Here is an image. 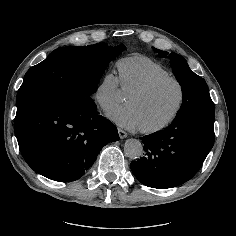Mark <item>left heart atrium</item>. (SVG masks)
Listing matches in <instances>:
<instances>
[{
  "label": "left heart atrium",
  "mask_w": 236,
  "mask_h": 236,
  "mask_svg": "<svg viewBox=\"0 0 236 236\" xmlns=\"http://www.w3.org/2000/svg\"><path fill=\"white\" fill-rule=\"evenodd\" d=\"M109 118L117 125L133 129L140 127V122L136 110L131 106L117 108L108 114Z\"/></svg>",
  "instance_id": "obj_1"
}]
</instances>
